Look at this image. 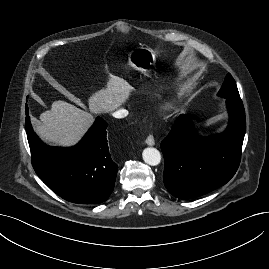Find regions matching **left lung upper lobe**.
Instances as JSON below:
<instances>
[{
	"label": "left lung upper lobe",
	"mask_w": 269,
	"mask_h": 269,
	"mask_svg": "<svg viewBox=\"0 0 269 269\" xmlns=\"http://www.w3.org/2000/svg\"><path fill=\"white\" fill-rule=\"evenodd\" d=\"M219 96L229 99H240V95L237 89V85L231 76V74H227L225 77V81L218 92Z\"/></svg>",
	"instance_id": "obj_1"
}]
</instances>
